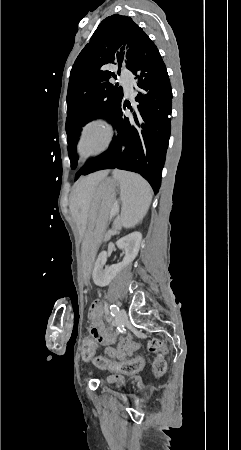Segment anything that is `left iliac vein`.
I'll use <instances>...</instances> for the list:
<instances>
[{
    "instance_id": "left-iliac-vein-1",
    "label": "left iliac vein",
    "mask_w": 241,
    "mask_h": 450,
    "mask_svg": "<svg viewBox=\"0 0 241 450\" xmlns=\"http://www.w3.org/2000/svg\"><path fill=\"white\" fill-rule=\"evenodd\" d=\"M127 322V313L124 308L119 312L118 323L124 325Z\"/></svg>"
}]
</instances>
